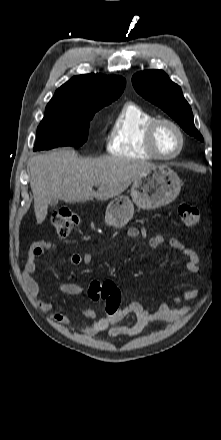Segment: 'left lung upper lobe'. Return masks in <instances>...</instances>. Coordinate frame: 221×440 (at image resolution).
I'll use <instances>...</instances> for the list:
<instances>
[{"label": "left lung upper lobe", "instance_id": "1", "mask_svg": "<svg viewBox=\"0 0 221 440\" xmlns=\"http://www.w3.org/2000/svg\"><path fill=\"white\" fill-rule=\"evenodd\" d=\"M135 90L153 104L167 112L190 135L203 141L193 123L191 107L181 88L162 70H147L132 77Z\"/></svg>", "mask_w": 221, "mask_h": 440}]
</instances>
